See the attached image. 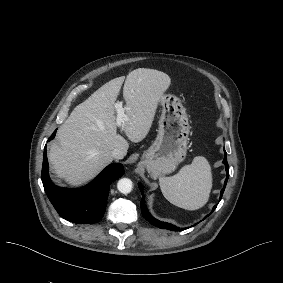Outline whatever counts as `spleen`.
I'll list each match as a JSON object with an SVG mask.
<instances>
[{
  "mask_svg": "<svg viewBox=\"0 0 283 283\" xmlns=\"http://www.w3.org/2000/svg\"><path fill=\"white\" fill-rule=\"evenodd\" d=\"M159 184L170 203L186 210H196L209 199L212 188L211 167L205 157L197 156L176 175L160 177Z\"/></svg>",
  "mask_w": 283,
  "mask_h": 283,
  "instance_id": "obj_1",
  "label": "spleen"
}]
</instances>
